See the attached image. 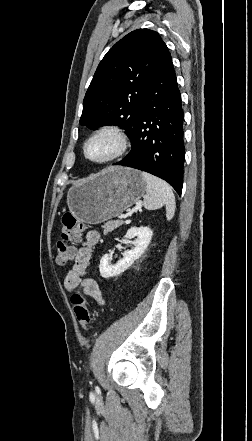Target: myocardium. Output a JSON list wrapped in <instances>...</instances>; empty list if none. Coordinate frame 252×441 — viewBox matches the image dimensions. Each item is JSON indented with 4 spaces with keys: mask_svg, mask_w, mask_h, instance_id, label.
Returning a JSON list of instances; mask_svg holds the SVG:
<instances>
[{
    "mask_svg": "<svg viewBox=\"0 0 252 441\" xmlns=\"http://www.w3.org/2000/svg\"><path fill=\"white\" fill-rule=\"evenodd\" d=\"M104 135L111 136L116 141V148H115L114 152L106 158L92 159L91 157H89V155L87 153V146L92 140L96 139L97 137L104 136ZM129 147H130V141H129L128 135L124 129H122L121 127H118V126L104 125V126L97 128L85 140V142L83 144V155L86 160H88L89 162H91L93 164L107 165V164L113 163V162L119 160L120 158H122L127 153Z\"/></svg>",
    "mask_w": 252,
    "mask_h": 441,
    "instance_id": "myocardium-1",
    "label": "myocardium"
}]
</instances>
